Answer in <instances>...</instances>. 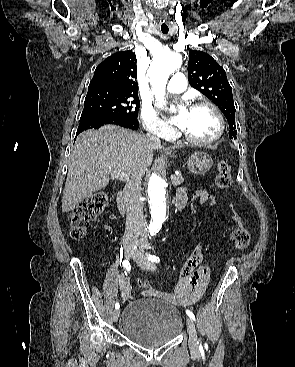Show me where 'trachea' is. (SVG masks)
<instances>
[{
	"label": "trachea",
	"instance_id": "1",
	"mask_svg": "<svg viewBox=\"0 0 295 367\" xmlns=\"http://www.w3.org/2000/svg\"><path fill=\"white\" fill-rule=\"evenodd\" d=\"M168 31H169V28H168L167 26H161V32H162L163 34H167V33H168Z\"/></svg>",
	"mask_w": 295,
	"mask_h": 367
}]
</instances>
